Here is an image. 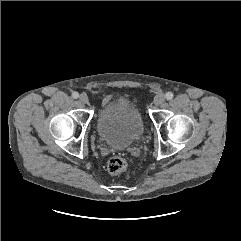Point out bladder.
I'll return each mask as SVG.
<instances>
[{
	"label": "bladder",
	"instance_id": "bladder-1",
	"mask_svg": "<svg viewBox=\"0 0 241 241\" xmlns=\"http://www.w3.org/2000/svg\"><path fill=\"white\" fill-rule=\"evenodd\" d=\"M97 131L106 144L124 149L141 138L144 123L139 110L120 98L99 110Z\"/></svg>",
	"mask_w": 241,
	"mask_h": 241
}]
</instances>
